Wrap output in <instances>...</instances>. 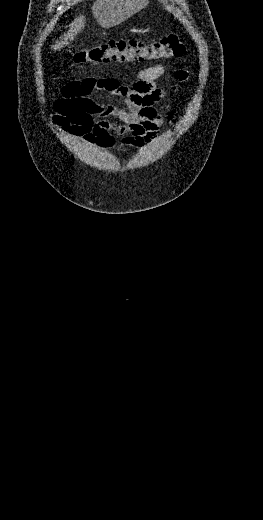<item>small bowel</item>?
<instances>
[{"mask_svg":"<svg viewBox=\"0 0 263 520\" xmlns=\"http://www.w3.org/2000/svg\"><path fill=\"white\" fill-rule=\"evenodd\" d=\"M166 70L165 64L145 68L130 85H123L115 78L89 77L72 81L61 88L50 120L70 136L102 148L116 145L113 133L121 136L117 143L120 150L149 145L162 125L173 120V112L163 114L155 107L168 97L157 83ZM187 77L184 70L176 72L178 81H185ZM176 90V86L171 87V91ZM101 91L123 98L124 108L97 101L93 94Z\"/></svg>","mask_w":263,"mask_h":520,"instance_id":"small-bowel-1","label":"small bowel"}]
</instances>
